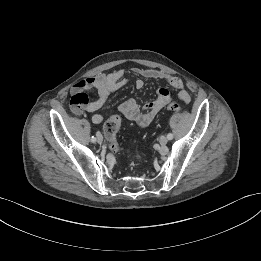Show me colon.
Instances as JSON below:
<instances>
[{
	"mask_svg": "<svg viewBox=\"0 0 261 261\" xmlns=\"http://www.w3.org/2000/svg\"><path fill=\"white\" fill-rule=\"evenodd\" d=\"M166 109L171 112H179L181 106L176 102H168ZM121 126V118L118 115L110 117L103 126V131L108 141L109 149L113 153H119L121 148L117 142V133Z\"/></svg>",
	"mask_w": 261,
	"mask_h": 261,
	"instance_id": "5ec220e1",
	"label": "colon"
}]
</instances>
